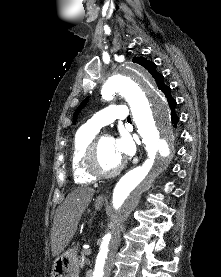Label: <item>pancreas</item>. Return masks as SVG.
Masks as SVG:
<instances>
[{
    "instance_id": "cf45deb5",
    "label": "pancreas",
    "mask_w": 221,
    "mask_h": 277,
    "mask_svg": "<svg viewBox=\"0 0 221 277\" xmlns=\"http://www.w3.org/2000/svg\"><path fill=\"white\" fill-rule=\"evenodd\" d=\"M89 250H82L81 256H80V266H84L85 263H88V260L86 259V256L90 255Z\"/></svg>"
}]
</instances>
